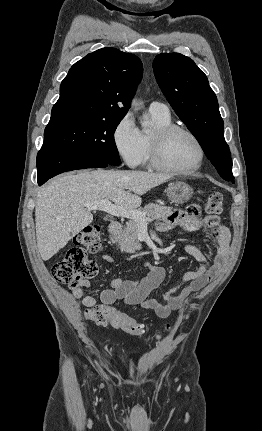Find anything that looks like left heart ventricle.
<instances>
[{
	"instance_id": "left-heart-ventricle-1",
	"label": "left heart ventricle",
	"mask_w": 262,
	"mask_h": 431,
	"mask_svg": "<svg viewBox=\"0 0 262 431\" xmlns=\"http://www.w3.org/2000/svg\"><path fill=\"white\" fill-rule=\"evenodd\" d=\"M163 154L169 165L185 170L192 169L198 160L195 142L183 133H176L166 140Z\"/></svg>"
}]
</instances>
